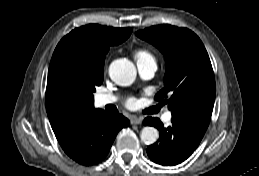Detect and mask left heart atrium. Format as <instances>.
Listing matches in <instances>:
<instances>
[{
	"label": "left heart atrium",
	"instance_id": "obj_1",
	"mask_svg": "<svg viewBox=\"0 0 259 176\" xmlns=\"http://www.w3.org/2000/svg\"><path fill=\"white\" fill-rule=\"evenodd\" d=\"M135 103H136V100H135L134 98H130V99H128V101H127V105H128V106H134Z\"/></svg>",
	"mask_w": 259,
	"mask_h": 176
}]
</instances>
